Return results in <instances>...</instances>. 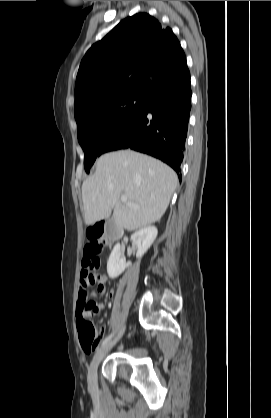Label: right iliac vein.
<instances>
[{
    "label": "right iliac vein",
    "instance_id": "obj_1",
    "mask_svg": "<svg viewBox=\"0 0 271 418\" xmlns=\"http://www.w3.org/2000/svg\"><path fill=\"white\" fill-rule=\"evenodd\" d=\"M123 332L124 329L120 331L118 336L113 341L107 343L96 352L88 370V384L91 389H95L97 387V369L100 362L103 360L108 350L121 338Z\"/></svg>",
    "mask_w": 271,
    "mask_h": 418
}]
</instances>
